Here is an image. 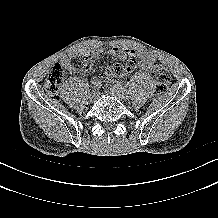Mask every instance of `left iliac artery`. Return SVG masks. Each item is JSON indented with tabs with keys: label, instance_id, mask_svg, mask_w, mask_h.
Wrapping results in <instances>:
<instances>
[{
	"label": "left iliac artery",
	"instance_id": "44dca946",
	"mask_svg": "<svg viewBox=\"0 0 218 218\" xmlns=\"http://www.w3.org/2000/svg\"><path fill=\"white\" fill-rule=\"evenodd\" d=\"M114 87L117 88V89H119L120 85H119V84H114ZM120 92H121V93H124V92H125V89H124V88H121V89H120Z\"/></svg>",
	"mask_w": 218,
	"mask_h": 218
}]
</instances>
